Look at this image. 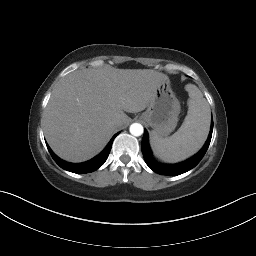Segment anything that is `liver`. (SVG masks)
Wrapping results in <instances>:
<instances>
[{"mask_svg":"<svg viewBox=\"0 0 256 256\" xmlns=\"http://www.w3.org/2000/svg\"><path fill=\"white\" fill-rule=\"evenodd\" d=\"M166 77L151 69L103 67L76 70L52 91L42 122L46 140L62 159L79 163L100 153L124 113L144 110Z\"/></svg>","mask_w":256,"mask_h":256,"instance_id":"obj_1","label":"liver"}]
</instances>
